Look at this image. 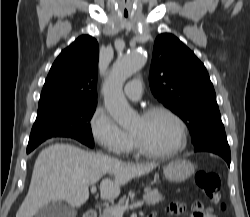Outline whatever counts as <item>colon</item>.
Returning <instances> with one entry per match:
<instances>
[{
  "label": "colon",
  "instance_id": "colon-1",
  "mask_svg": "<svg viewBox=\"0 0 250 217\" xmlns=\"http://www.w3.org/2000/svg\"><path fill=\"white\" fill-rule=\"evenodd\" d=\"M195 183L213 203L221 210H225L226 205L222 201V186L218 174L209 170H200L195 175ZM205 209L202 203H194L191 217H203Z\"/></svg>",
  "mask_w": 250,
  "mask_h": 217
}]
</instances>
